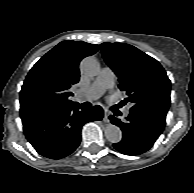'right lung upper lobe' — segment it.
<instances>
[{
  "mask_svg": "<svg viewBox=\"0 0 194 193\" xmlns=\"http://www.w3.org/2000/svg\"><path fill=\"white\" fill-rule=\"evenodd\" d=\"M98 45L63 41L46 53L28 73L20 91L21 118L56 111L75 104L70 87L79 81L80 61Z\"/></svg>",
  "mask_w": 194,
  "mask_h": 193,
  "instance_id": "right-lung-upper-lobe-1",
  "label": "right lung upper lobe"
}]
</instances>
